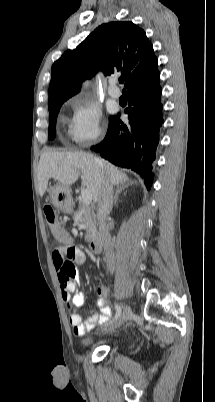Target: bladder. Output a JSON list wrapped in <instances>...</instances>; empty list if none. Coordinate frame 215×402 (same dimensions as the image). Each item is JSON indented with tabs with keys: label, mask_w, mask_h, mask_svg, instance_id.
Instances as JSON below:
<instances>
[{
	"label": "bladder",
	"mask_w": 215,
	"mask_h": 402,
	"mask_svg": "<svg viewBox=\"0 0 215 402\" xmlns=\"http://www.w3.org/2000/svg\"><path fill=\"white\" fill-rule=\"evenodd\" d=\"M81 344L84 347H88V346L93 344V340L90 337H87V338H84V339L81 340Z\"/></svg>",
	"instance_id": "1"
}]
</instances>
